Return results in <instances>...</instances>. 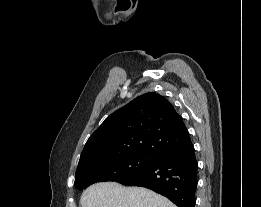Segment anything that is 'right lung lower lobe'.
Masks as SVG:
<instances>
[{
    "instance_id": "98d812e1",
    "label": "right lung lower lobe",
    "mask_w": 261,
    "mask_h": 207,
    "mask_svg": "<svg viewBox=\"0 0 261 207\" xmlns=\"http://www.w3.org/2000/svg\"><path fill=\"white\" fill-rule=\"evenodd\" d=\"M197 168L195 149L190 141L181 148L154 157L147 168L119 183L152 189L178 207H195Z\"/></svg>"
}]
</instances>
